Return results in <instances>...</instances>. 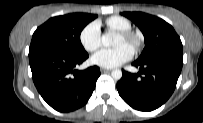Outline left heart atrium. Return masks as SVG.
I'll use <instances>...</instances> for the list:
<instances>
[{
    "label": "left heart atrium",
    "mask_w": 203,
    "mask_h": 123,
    "mask_svg": "<svg viewBox=\"0 0 203 123\" xmlns=\"http://www.w3.org/2000/svg\"><path fill=\"white\" fill-rule=\"evenodd\" d=\"M133 56V50L125 44L113 48H104L92 56V62L103 68H114L127 61Z\"/></svg>",
    "instance_id": "1"
}]
</instances>
